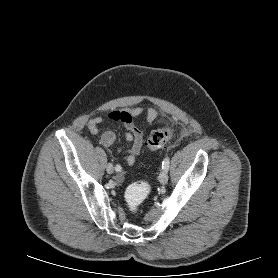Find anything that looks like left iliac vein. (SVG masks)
Instances as JSON below:
<instances>
[{"instance_id": "left-iliac-vein-1", "label": "left iliac vein", "mask_w": 278, "mask_h": 278, "mask_svg": "<svg viewBox=\"0 0 278 278\" xmlns=\"http://www.w3.org/2000/svg\"><path fill=\"white\" fill-rule=\"evenodd\" d=\"M159 181L161 184L165 185L168 181L167 171L163 170L159 175Z\"/></svg>"}]
</instances>
